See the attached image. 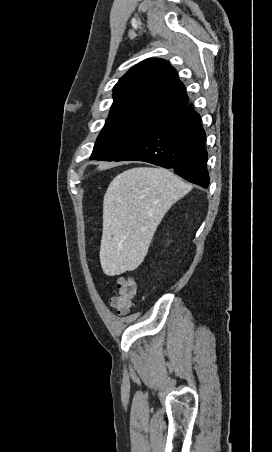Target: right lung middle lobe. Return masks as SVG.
<instances>
[{
  "label": "right lung middle lobe",
  "instance_id": "dd1d6c3e",
  "mask_svg": "<svg viewBox=\"0 0 272 452\" xmlns=\"http://www.w3.org/2000/svg\"><path fill=\"white\" fill-rule=\"evenodd\" d=\"M160 116L128 112L109 116L95 143L91 159L113 161L129 149Z\"/></svg>",
  "mask_w": 272,
  "mask_h": 452
}]
</instances>
